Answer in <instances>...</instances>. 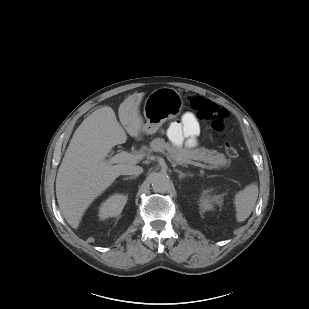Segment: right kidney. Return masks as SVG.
I'll use <instances>...</instances> for the list:
<instances>
[{
	"label": "right kidney",
	"instance_id": "right-kidney-1",
	"mask_svg": "<svg viewBox=\"0 0 309 309\" xmlns=\"http://www.w3.org/2000/svg\"><path fill=\"white\" fill-rule=\"evenodd\" d=\"M127 202V196L115 194L103 202L99 208V217L106 219L119 216Z\"/></svg>",
	"mask_w": 309,
	"mask_h": 309
}]
</instances>
